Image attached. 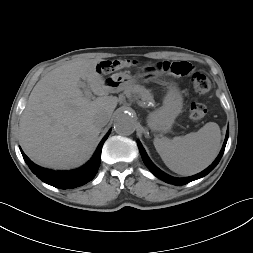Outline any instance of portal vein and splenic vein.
<instances>
[{
	"instance_id": "portal-vein-and-splenic-vein-1",
	"label": "portal vein and splenic vein",
	"mask_w": 253,
	"mask_h": 253,
	"mask_svg": "<svg viewBox=\"0 0 253 253\" xmlns=\"http://www.w3.org/2000/svg\"><path fill=\"white\" fill-rule=\"evenodd\" d=\"M80 86L84 89L85 96L90 99L92 97V93L88 87L84 83H81Z\"/></svg>"
}]
</instances>
